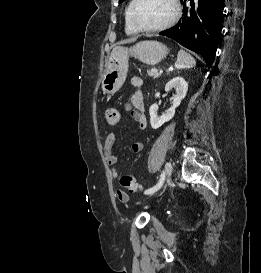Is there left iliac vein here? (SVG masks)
Returning a JSON list of instances; mask_svg holds the SVG:
<instances>
[{
  "label": "left iliac vein",
  "mask_w": 261,
  "mask_h": 273,
  "mask_svg": "<svg viewBox=\"0 0 261 273\" xmlns=\"http://www.w3.org/2000/svg\"><path fill=\"white\" fill-rule=\"evenodd\" d=\"M172 170H173L172 163L171 162H167L166 165H165V169H164V179H163L162 185H163L164 181L167 180L171 176Z\"/></svg>",
  "instance_id": "4c4485c4"
}]
</instances>
